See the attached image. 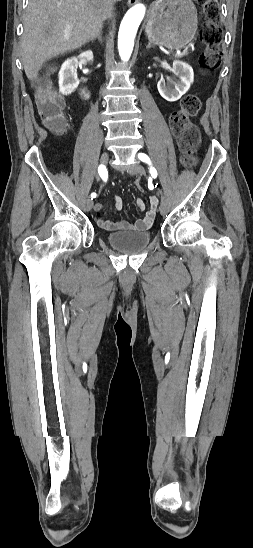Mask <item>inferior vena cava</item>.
Listing matches in <instances>:
<instances>
[{
  "label": "inferior vena cava",
  "instance_id": "602c4592",
  "mask_svg": "<svg viewBox=\"0 0 253 548\" xmlns=\"http://www.w3.org/2000/svg\"><path fill=\"white\" fill-rule=\"evenodd\" d=\"M118 0H105V13L108 16H111L114 10V3Z\"/></svg>",
  "mask_w": 253,
  "mask_h": 548
}]
</instances>
